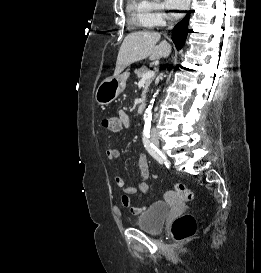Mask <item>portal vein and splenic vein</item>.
<instances>
[{"mask_svg":"<svg viewBox=\"0 0 261 273\" xmlns=\"http://www.w3.org/2000/svg\"><path fill=\"white\" fill-rule=\"evenodd\" d=\"M154 75H155L154 71H148L145 74H143L142 80H147L149 78H152V77H154Z\"/></svg>","mask_w":261,"mask_h":273,"instance_id":"portal-vein-and-splenic-vein-1","label":"portal vein and splenic vein"}]
</instances>
